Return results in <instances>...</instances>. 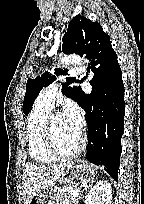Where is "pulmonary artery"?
I'll return each mask as SVG.
<instances>
[{
	"label": "pulmonary artery",
	"instance_id": "e3ab8cb5",
	"mask_svg": "<svg viewBox=\"0 0 144 204\" xmlns=\"http://www.w3.org/2000/svg\"><path fill=\"white\" fill-rule=\"evenodd\" d=\"M84 70L82 68L77 69L76 73H82ZM60 88L59 84L53 83L49 87L42 90L37 97L36 102L42 106L52 109L56 98L59 96Z\"/></svg>",
	"mask_w": 144,
	"mask_h": 204
}]
</instances>
